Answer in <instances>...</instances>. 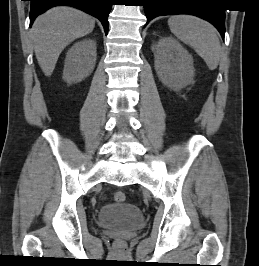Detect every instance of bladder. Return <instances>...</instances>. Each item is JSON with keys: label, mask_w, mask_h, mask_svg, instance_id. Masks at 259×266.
<instances>
[{"label": "bladder", "mask_w": 259, "mask_h": 266, "mask_svg": "<svg viewBox=\"0 0 259 266\" xmlns=\"http://www.w3.org/2000/svg\"><path fill=\"white\" fill-rule=\"evenodd\" d=\"M98 224L104 228L136 230L143 226L141 210L131 203L109 204L100 210Z\"/></svg>", "instance_id": "1"}]
</instances>
